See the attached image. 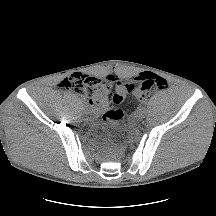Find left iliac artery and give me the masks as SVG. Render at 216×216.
Masks as SVG:
<instances>
[{
  "mask_svg": "<svg viewBox=\"0 0 216 216\" xmlns=\"http://www.w3.org/2000/svg\"><path fill=\"white\" fill-rule=\"evenodd\" d=\"M142 105H149V100H142Z\"/></svg>",
  "mask_w": 216,
  "mask_h": 216,
  "instance_id": "44dca946",
  "label": "left iliac artery"
}]
</instances>
